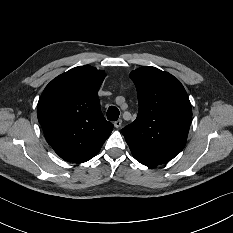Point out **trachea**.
<instances>
[{
  "label": "trachea",
  "mask_w": 233,
  "mask_h": 233,
  "mask_svg": "<svg viewBox=\"0 0 233 233\" xmlns=\"http://www.w3.org/2000/svg\"><path fill=\"white\" fill-rule=\"evenodd\" d=\"M119 118V110L115 106H111L107 110V119L111 121H115Z\"/></svg>",
  "instance_id": "3493384b"
}]
</instances>
